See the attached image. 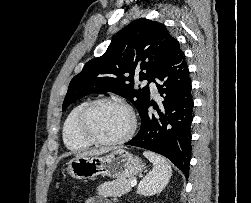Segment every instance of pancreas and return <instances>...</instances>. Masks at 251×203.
Returning a JSON list of instances; mask_svg holds the SVG:
<instances>
[{
    "label": "pancreas",
    "instance_id": "pancreas-1",
    "mask_svg": "<svg viewBox=\"0 0 251 203\" xmlns=\"http://www.w3.org/2000/svg\"><path fill=\"white\" fill-rule=\"evenodd\" d=\"M132 179H117L101 184L98 188V194L105 197H119L131 190Z\"/></svg>",
    "mask_w": 251,
    "mask_h": 203
}]
</instances>
